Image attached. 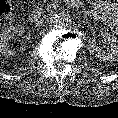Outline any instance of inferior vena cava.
Returning <instances> with one entry per match:
<instances>
[{
	"label": "inferior vena cava",
	"mask_w": 118,
	"mask_h": 118,
	"mask_svg": "<svg viewBox=\"0 0 118 118\" xmlns=\"http://www.w3.org/2000/svg\"><path fill=\"white\" fill-rule=\"evenodd\" d=\"M44 21H45V17L43 16V17H40L39 19H37V20L35 21V24H36V25H40V24H42Z\"/></svg>",
	"instance_id": "inferior-vena-cava-1"
}]
</instances>
